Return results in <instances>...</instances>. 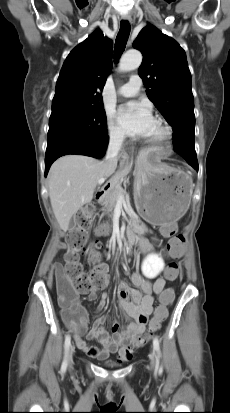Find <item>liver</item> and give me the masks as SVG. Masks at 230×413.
<instances>
[{"label": "liver", "mask_w": 230, "mask_h": 413, "mask_svg": "<svg viewBox=\"0 0 230 413\" xmlns=\"http://www.w3.org/2000/svg\"><path fill=\"white\" fill-rule=\"evenodd\" d=\"M116 167L84 155H66L52 164L48 175L49 198L64 232L72 216L93 199L98 180L110 177Z\"/></svg>", "instance_id": "6515ba94"}]
</instances>
